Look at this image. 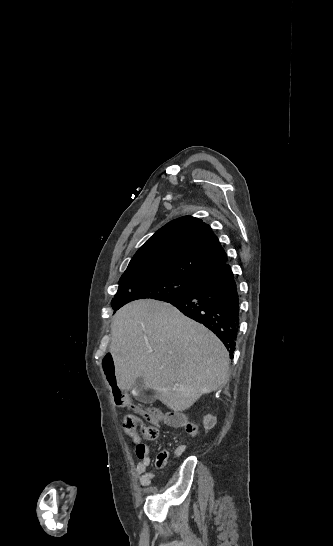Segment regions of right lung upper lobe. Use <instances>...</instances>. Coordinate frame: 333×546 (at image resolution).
I'll use <instances>...</instances> for the list:
<instances>
[{
  "label": "right lung upper lobe",
  "mask_w": 333,
  "mask_h": 546,
  "mask_svg": "<svg viewBox=\"0 0 333 546\" xmlns=\"http://www.w3.org/2000/svg\"><path fill=\"white\" fill-rule=\"evenodd\" d=\"M227 261L210 226L195 217L184 216L150 237L133 256L123 275L170 272L201 279Z\"/></svg>",
  "instance_id": "cb5924a9"
}]
</instances>
